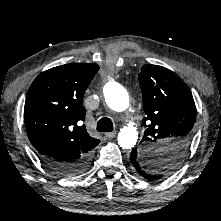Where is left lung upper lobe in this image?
Listing matches in <instances>:
<instances>
[{"label": "left lung upper lobe", "instance_id": "1", "mask_svg": "<svg viewBox=\"0 0 221 221\" xmlns=\"http://www.w3.org/2000/svg\"><path fill=\"white\" fill-rule=\"evenodd\" d=\"M145 127L140 153L150 180L168 176L184 159L193 137L196 107L191 91L174 72L144 65L139 74Z\"/></svg>", "mask_w": 221, "mask_h": 221}]
</instances>
